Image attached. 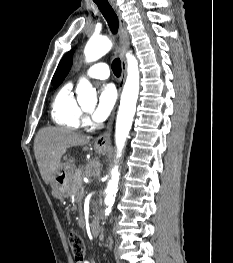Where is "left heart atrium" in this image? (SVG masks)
I'll use <instances>...</instances> for the list:
<instances>
[{
    "mask_svg": "<svg viewBox=\"0 0 233 263\" xmlns=\"http://www.w3.org/2000/svg\"><path fill=\"white\" fill-rule=\"evenodd\" d=\"M116 102V90L111 84H106L99 91L98 103L92 112L96 122L104 121L111 113Z\"/></svg>",
    "mask_w": 233,
    "mask_h": 263,
    "instance_id": "1",
    "label": "left heart atrium"
}]
</instances>
